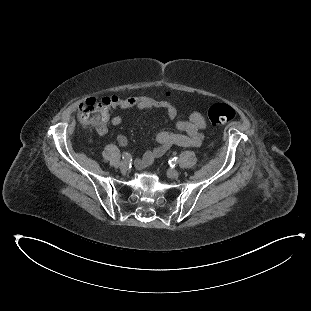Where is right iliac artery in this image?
I'll return each mask as SVG.
<instances>
[{
    "instance_id": "right-iliac-artery-1",
    "label": "right iliac artery",
    "mask_w": 311,
    "mask_h": 311,
    "mask_svg": "<svg viewBox=\"0 0 311 311\" xmlns=\"http://www.w3.org/2000/svg\"><path fill=\"white\" fill-rule=\"evenodd\" d=\"M122 158L124 159L125 162H130L132 160L131 154H129L127 152H123Z\"/></svg>"
}]
</instances>
